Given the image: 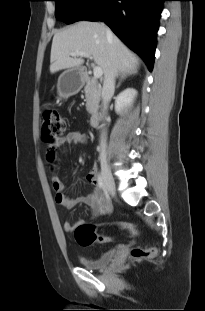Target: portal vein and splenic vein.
<instances>
[{
	"mask_svg": "<svg viewBox=\"0 0 205 311\" xmlns=\"http://www.w3.org/2000/svg\"><path fill=\"white\" fill-rule=\"evenodd\" d=\"M70 55L73 57H85V58L92 59V57L90 55L83 53V52H72ZM93 74H94V78L96 79V78H99L102 76L103 71L100 67L94 66L93 67Z\"/></svg>",
	"mask_w": 205,
	"mask_h": 311,
	"instance_id": "portal-vein-and-splenic-vein-1",
	"label": "portal vein and splenic vein"
}]
</instances>
